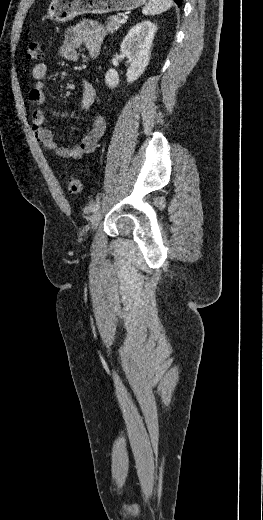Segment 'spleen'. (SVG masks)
Instances as JSON below:
<instances>
[{
	"label": "spleen",
	"instance_id": "3e777b00",
	"mask_svg": "<svg viewBox=\"0 0 263 520\" xmlns=\"http://www.w3.org/2000/svg\"><path fill=\"white\" fill-rule=\"evenodd\" d=\"M173 5V0H149L143 7L142 13L144 15H156L170 9Z\"/></svg>",
	"mask_w": 263,
	"mask_h": 520
}]
</instances>
